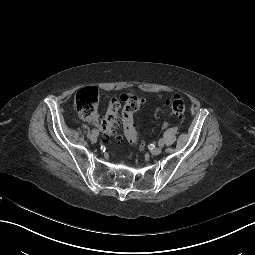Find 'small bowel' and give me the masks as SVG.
<instances>
[{"mask_svg": "<svg viewBox=\"0 0 255 255\" xmlns=\"http://www.w3.org/2000/svg\"><path fill=\"white\" fill-rule=\"evenodd\" d=\"M93 122H94L95 125H98V120L97 119H94Z\"/></svg>", "mask_w": 255, "mask_h": 255, "instance_id": "obj_1", "label": "small bowel"}]
</instances>
